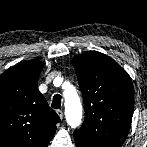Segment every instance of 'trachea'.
I'll return each instance as SVG.
<instances>
[{"label": "trachea", "instance_id": "trachea-1", "mask_svg": "<svg viewBox=\"0 0 147 147\" xmlns=\"http://www.w3.org/2000/svg\"><path fill=\"white\" fill-rule=\"evenodd\" d=\"M51 106L54 109H59L61 107V95L56 94L53 96L52 104Z\"/></svg>", "mask_w": 147, "mask_h": 147}]
</instances>
